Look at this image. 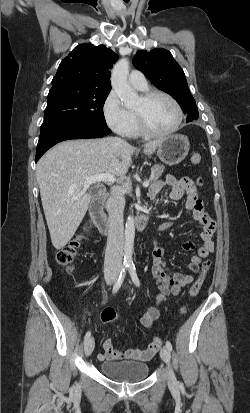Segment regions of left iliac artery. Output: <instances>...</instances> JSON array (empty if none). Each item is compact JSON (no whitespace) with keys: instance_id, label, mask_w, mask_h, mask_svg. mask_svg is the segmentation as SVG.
I'll return each mask as SVG.
<instances>
[{"instance_id":"left-iliac-artery-1","label":"left iliac artery","mask_w":250,"mask_h":413,"mask_svg":"<svg viewBox=\"0 0 250 413\" xmlns=\"http://www.w3.org/2000/svg\"><path fill=\"white\" fill-rule=\"evenodd\" d=\"M129 271H130V275H131L133 283L137 287H139L140 286V281H139V278H138L137 273H136L135 265L133 263L129 265ZM166 347L168 348L169 351H172V345L169 341H166Z\"/></svg>"}]
</instances>
